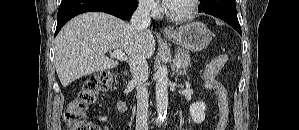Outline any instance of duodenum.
<instances>
[{
	"mask_svg": "<svg viewBox=\"0 0 299 130\" xmlns=\"http://www.w3.org/2000/svg\"><path fill=\"white\" fill-rule=\"evenodd\" d=\"M117 107H118V109H119L122 113H124V114H126V115L129 114V106H128L126 100L124 99V94H123V93H121V94L118 96V99H117Z\"/></svg>",
	"mask_w": 299,
	"mask_h": 130,
	"instance_id": "duodenum-1",
	"label": "duodenum"
}]
</instances>
